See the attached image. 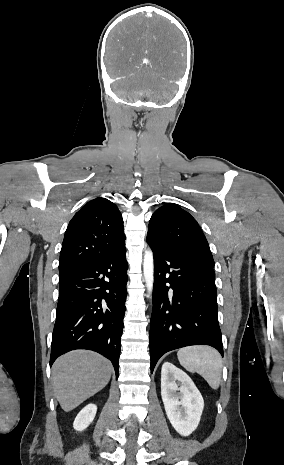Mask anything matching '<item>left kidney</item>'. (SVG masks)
<instances>
[{"mask_svg": "<svg viewBox=\"0 0 284 465\" xmlns=\"http://www.w3.org/2000/svg\"><path fill=\"white\" fill-rule=\"evenodd\" d=\"M161 397L175 431L182 437L191 435L197 429L204 409L203 397L192 379L171 363H163Z\"/></svg>", "mask_w": 284, "mask_h": 465, "instance_id": "5707ae66", "label": "left kidney"}]
</instances>
